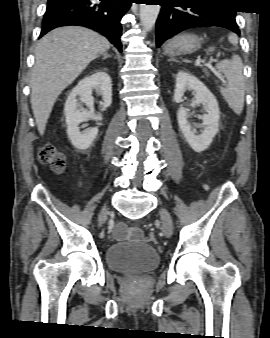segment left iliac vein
<instances>
[{"instance_id": "1", "label": "left iliac vein", "mask_w": 270, "mask_h": 338, "mask_svg": "<svg viewBox=\"0 0 270 338\" xmlns=\"http://www.w3.org/2000/svg\"><path fill=\"white\" fill-rule=\"evenodd\" d=\"M160 218L162 220V230L163 233L167 238H170L173 233V221L171 215L165 208H161L160 211Z\"/></svg>"}]
</instances>
